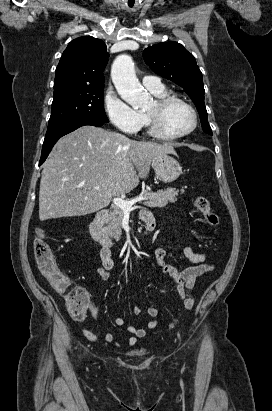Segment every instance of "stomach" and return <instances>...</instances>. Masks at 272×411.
Returning a JSON list of instances; mask_svg holds the SVG:
<instances>
[{
	"label": "stomach",
	"instance_id": "obj_1",
	"mask_svg": "<svg viewBox=\"0 0 272 411\" xmlns=\"http://www.w3.org/2000/svg\"><path fill=\"white\" fill-rule=\"evenodd\" d=\"M152 168L158 179L165 183L175 181L182 173L179 162L169 155H162L152 160Z\"/></svg>",
	"mask_w": 272,
	"mask_h": 411
}]
</instances>
